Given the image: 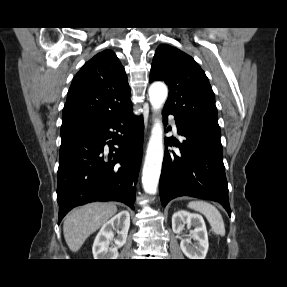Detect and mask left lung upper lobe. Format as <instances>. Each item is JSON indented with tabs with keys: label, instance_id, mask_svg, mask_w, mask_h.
Here are the masks:
<instances>
[{
	"label": "left lung upper lobe",
	"instance_id": "left-lung-upper-lobe-1",
	"mask_svg": "<svg viewBox=\"0 0 287 287\" xmlns=\"http://www.w3.org/2000/svg\"><path fill=\"white\" fill-rule=\"evenodd\" d=\"M169 87L164 110L194 132L221 145L215 97L207 76L197 62L181 50L161 44L154 55L150 82Z\"/></svg>",
	"mask_w": 287,
	"mask_h": 287
}]
</instances>
